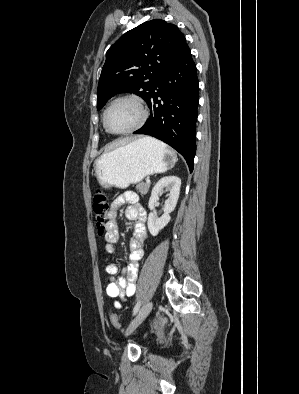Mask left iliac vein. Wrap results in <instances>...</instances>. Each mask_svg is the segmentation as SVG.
<instances>
[{"label": "left iliac vein", "mask_w": 299, "mask_h": 394, "mask_svg": "<svg viewBox=\"0 0 299 394\" xmlns=\"http://www.w3.org/2000/svg\"><path fill=\"white\" fill-rule=\"evenodd\" d=\"M152 307H153L152 301H149L143 305V307L140 309V311L138 312L136 317L132 320V322L128 326V328L125 332L126 336L130 335L144 321V319L151 312Z\"/></svg>", "instance_id": "left-iliac-vein-1"}]
</instances>
